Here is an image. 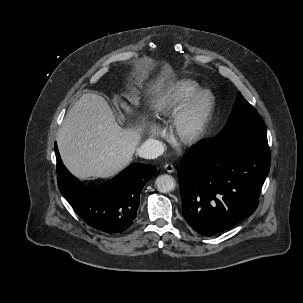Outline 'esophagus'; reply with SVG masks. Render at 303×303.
Segmentation results:
<instances>
[{
  "mask_svg": "<svg viewBox=\"0 0 303 303\" xmlns=\"http://www.w3.org/2000/svg\"><path fill=\"white\" fill-rule=\"evenodd\" d=\"M164 169L168 173H173L175 171V167L172 164H169V163L164 165Z\"/></svg>",
  "mask_w": 303,
  "mask_h": 303,
  "instance_id": "esophagus-1",
  "label": "esophagus"
}]
</instances>
